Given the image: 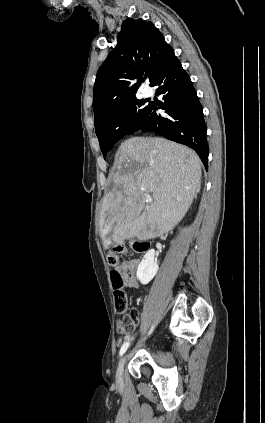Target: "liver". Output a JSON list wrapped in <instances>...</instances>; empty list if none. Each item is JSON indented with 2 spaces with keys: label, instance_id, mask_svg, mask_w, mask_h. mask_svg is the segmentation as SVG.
<instances>
[{
  "label": "liver",
  "instance_id": "obj_1",
  "mask_svg": "<svg viewBox=\"0 0 265 423\" xmlns=\"http://www.w3.org/2000/svg\"><path fill=\"white\" fill-rule=\"evenodd\" d=\"M201 174L199 156L184 145L163 138L125 140L112 168L114 188L102 199L101 238L112 231L111 239L121 244L172 230L200 191Z\"/></svg>",
  "mask_w": 265,
  "mask_h": 423
}]
</instances>
